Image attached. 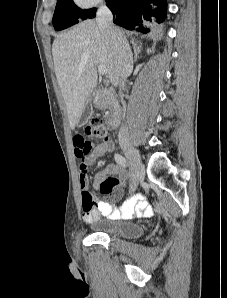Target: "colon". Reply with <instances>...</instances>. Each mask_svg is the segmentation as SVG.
<instances>
[{
  "label": "colon",
  "mask_w": 227,
  "mask_h": 298,
  "mask_svg": "<svg viewBox=\"0 0 227 298\" xmlns=\"http://www.w3.org/2000/svg\"><path fill=\"white\" fill-rule=\"evenodd\" d=\"M85 134H87V139H84V142H91L89 139H108V129L105 126L104 122L98 118H94L88 123L85 128ZM120 184L121 182L117 178L110 176L102 180V182L100 183V190L104 194H109L116 186Z\"/></svg>",
  "instance_id": "obj_1"
}]
</instances>
